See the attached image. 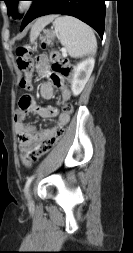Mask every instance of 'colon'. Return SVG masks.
<instances>
[{"instance_id": "5ec220e1", "label": "colon", "mask_w": 133, "mask_h": 253, "mask_svg": "<svg viewBox=\"0 0 133 253\" xmlns=\"http://www.w3.org/2000/svg\"><path fill=\"white\" fill-rule=\"evenodd\" d=\"M44 48H47V54L45 56H50L51 58L50 61H48V64L52 73L64 78L70 77L72 68L69 65L67 59L63 57L58 51L49 48V46L46 44L44 45ZM17 65L18 68L24 73V77L20 81V87L24 90H30V77L34 68V57L33 51L29 46H20L17 48ZM73 111L74 109L71 104L64 105V114L71 116L73 114ZM63 132L64 129L61 128L53 136L44 140L40 146L31 153L30 159L35 161L51 151L62 137Z\"/></svg>"}]
</instances>
